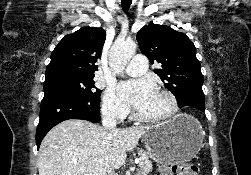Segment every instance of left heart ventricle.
<instances>
[{
  "instance_id": "1",
  "label": "left heart ventricle",
  "mask_w": 251,
  "mask_h": 175,
  "mask_svg": "<svg viewBox=\"0 0 251 175\" xmlns=\"http://www.w3.org/2000/svg\"><path fill=\"white\" fill-rule=\"evenodd\" d=\"M169 110L170 104L167 98L158 92L153 103L143 111V114L148 116H161L166 114Z\"/></svg>"
}]
</instances>
